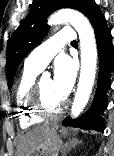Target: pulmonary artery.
Listing matches in <instances>:
<instances>
[{
	"label": "pulmonary artery",
	"mask_w": 114,
	"mask_h": 156,
	"mask_svg": "<svg viewBox=\"0 0 114 156\" xmlns=\"http://www.w3.org/2000/svg\"><path fill=\"white\" fill-rule=\"evenodd\" d=\"M75 39V31L69 27L64 28L34 49L26 58L25 63L43 70L65 43L75 41Z\"/></svg>",
	"instance_id": "1"
}]
</instances>
